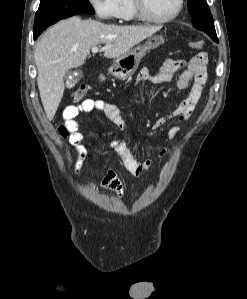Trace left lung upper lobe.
<instances>
[{
	"mask_svg": "<svg viewBox=\"0 0 247 299\" xmlns=\"http://www.w3.org/2000/svg\"><path fill=\"white\" fill-rule=\"evenodd\" d=\"M188 7L194 27L204 31L211 38H217L213 17L206 0H188Z\"/></svg>",
	"mask_w": 247,
	"mask_h": 299,
	"instance_id": "left-lung-upper-lobe-1",
	"label": "left lung upper lobe"
}]
</instances>
